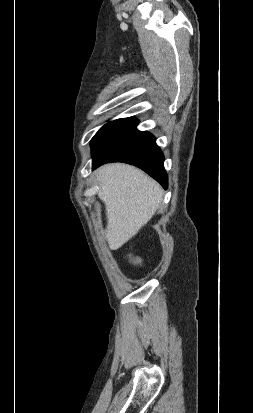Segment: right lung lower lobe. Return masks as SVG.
I'll return each mask as SVG.
<instances>
[{
	"label": "right lung lower lobe",
	"instance_id": "obj_1",
	"mask_svg": "<svg viewBox=\"0 0 253 413\" xmlns=\"http://www.w3.org/2000/svg\"><path fill=\"white\" fill-rule=\"evenodd\" d=\"M108 162L132 164L160 182L165 189L168 186L163 153L156 145L155 137L148 132H135L104 157L93 161L92 169Z\"/></svg>",
	"mask_w": 253,
	"mask_h": 413
}]
</instances>
